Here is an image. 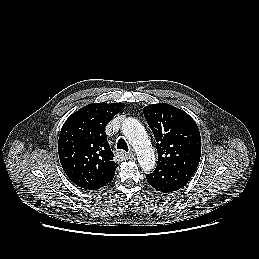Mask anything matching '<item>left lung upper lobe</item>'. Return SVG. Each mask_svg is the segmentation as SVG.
<instances>
[{
  "label": "left lung upper lobe",
  "instance_id": "5c2ea615",
  "mask_svg": "<svg viewBox=\"0 0 259 259\" xmlns=\"http://www.w3.org/2000/svg\"><path fill=\"white\" fill-rule=\"evenodd\" d=\"M156 139V169H166L189 181L201 156V137L197 124L183 110L160 103L143 109Z\"/></svg>",
  "mask_w": 259,
  "mask_h": 259
}]
</instances>
